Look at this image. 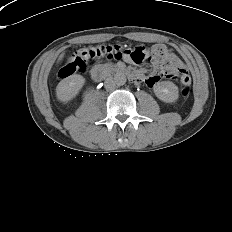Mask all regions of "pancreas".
Listing matches in <instances>:
<instances>
[{"label":"pancreas","mask_w":232,"mask_h":232,"mask_svg":"<svg viewBox=\"0 0 232 232\" xmlns=\"http://www.w3.org/2000/svg\"><path fill=\"white\" fill-rule=\"evenodd\" d=\"M115 66L114 65H108L105 67V71L106 72H109V73H112L113 71H115Z\"/></svg>","instance_id":"cf45deb5"}]
</instances>
